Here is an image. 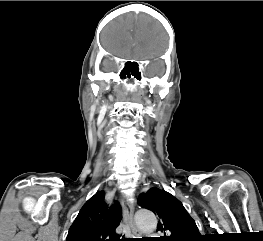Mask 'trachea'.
<instances>
[{"mask_svg": "<svg viewBox=\"0 0 263 241\" xmlns=\"http://www.w3.org/2000/svg\"><path fill=\"white\" fill-rule=\"evenodd\" d=\"M120 241H138V239H134V238H122V239H120Z\"/></svg>", "mask_w": 263, "mask_h": 241, "instance_id": "obj_1", "label": "trachea"}]
</instances>
